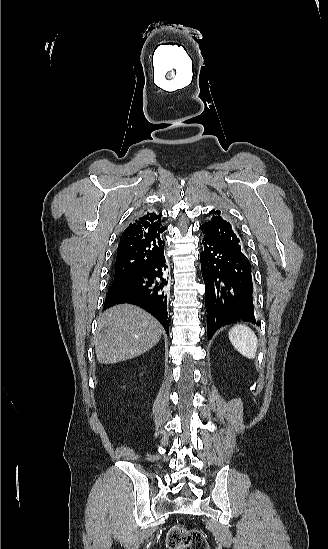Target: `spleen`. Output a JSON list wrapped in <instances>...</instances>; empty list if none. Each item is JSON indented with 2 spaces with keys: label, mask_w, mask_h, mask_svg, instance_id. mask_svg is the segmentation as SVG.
I'll use <instances>...</instances> for the list:
<instances>
[{
  "label": "spleen",
  "mask_w": 328,
  "mask_h": 549,
  "mask_svg": "<svg viewBox=\"0 0 328 549\" xmlns=\"http://www.w3.org/2000/svg\"><path fill=\"white\" fill-rule=\"evenodd\" d=\"M228 335L231 345H233L238 353H241L247 359H255L258 349V339L250 327L235 325V327L230 329Z\"/></svg>",
  "instance_id": "spleen-1"
}]
</instances>
